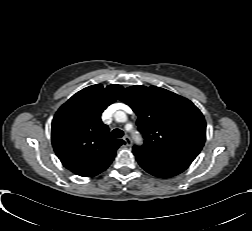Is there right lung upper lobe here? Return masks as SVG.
Masks as SVG:
<instances>
[{"label":"right lung upper lobe","mask_w":252,"mask_h":231,"mask_svg":"<svg viewBox=\"0 0 252 231\" xmlns=\"http://www.w3.org/2000/svg\"><path fill=\"white\" fill-rule=\"evenodd\" d=\"M120 85H92L73 95L56 112L51 139L62 164L82 177H92L106 170L116 150L125 142L110 137L101 121L102 112L116 101Z\"/></svg>","instance_id":"right-lung-upper-lobe-1"}]
</instances>
